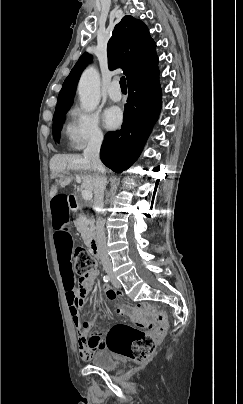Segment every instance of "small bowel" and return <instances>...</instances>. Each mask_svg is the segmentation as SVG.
Listing matches in <instances>:
<instances>
[{
    "label": "small bowel",
    "instance_id": "small-bowel-1",
    "mask_svg": "<svg viewBox=\"0 0 243 404\" xmlns=\"http://www.w3.org/2000/svg\"><path fill=\"white\" fill-rule=\"evenodd\" d=\"M69 196L58 192L50 201L54 244L57 251L60 270L63 277L66 301L69 308L72 323L77 331L79 353L82 359L88 360L93 354L105 347L104 339L99 335H89L88 322H82L79 317V309L83 306L85 297L94 286L97 271H92L82 277L78 282L72 265V237L68 227ZM108 301L114 302L118 293L109 286L104 287ZM116 312L124 314L123 307H116Z\"/></svg>",
    "mask_w": 243,
    "mask_h": 404
}]
</instances>
